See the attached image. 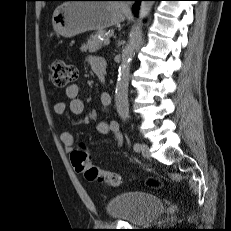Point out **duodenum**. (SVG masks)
<instances>
[{
    "mask_svg": "<svg viewBox=\"0 0 231 231\" xmlns=\"http://www.w3.org/2000/svg\"><path fill=\"white\" fill-rule=\"evenodd\" d=\"M106 62L105 64H100L94 68V72L96 73L98 79L100 82L104 83L105 82V75H106Z\"/></svg>",
    "mask_w": 231,
    "mask_h": 231,
    "instance_id": "duodenum-1",
    "label": "duodenum"
}]
</instances>
